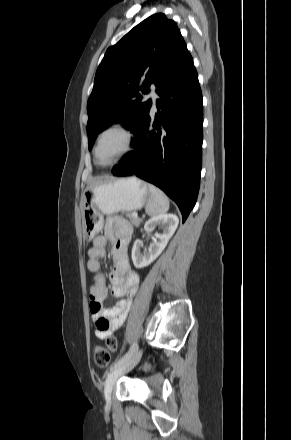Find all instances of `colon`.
<instances>
[{
	"mask_svg": "<svg viewBox=\"0 0 291 440\" xmlns=\"http://www.w3.org/2000/svg\"><path fill=\"white\" fill-rule=\"evenodd\" d=\"M102 324L108 325L109 321L107 319L102 320ZM108 347L115 351L118 347L117 340L115 338H109L108 339ZM94 360L95 363L99 367H107L110 363V354L109 351L102 347V346H96L94 349Z\"/></svg>",
	"mask_w": 291,
	"mask_h": 440,
	"instance_id": "5ec220e1",
	"label": "colon"
}]
</instances>
